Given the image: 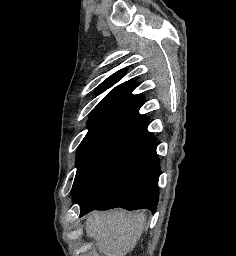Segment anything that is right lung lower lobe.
Listing matches in <instances>:
<instances>
[{
  "instance_id": "obj_1",
  "label": "right lung lower lobe",
  "mask_w": 236,
  "mask_h": 256,
  "mask_svg": "<svg viewBox=\"0 0 236 256\" xmlns=\"http://www.w3.org/2000/svg\"><path fill=\"white\" fill-rule=\"evenodd\" d=\"M156 145V138L147 132L109 161L73 198L80 205V217L95 209L116 207L155 213L160 174Z\"/></svg>"
}]
</instances>
